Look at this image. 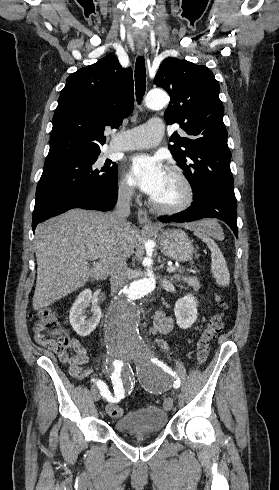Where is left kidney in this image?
<instances>
[{
  "label": "left kidney",
  "instance_id": "left-kidney-1",
  "mask_svg": "<svg viewBox=\"0 0 279 490\" xmlns=\"http://www.w3.org/2000/svg\"><path fill=\"white\" fill-rule=\"evenodd\" d=\"M198 300L194 294H186L184 298L177 300L174 308L176 324L182 330H188L195 324L198 318Z\"/></svg>",
  "mask_w": 279,
  "mask_h": 490
}]
</instances>
